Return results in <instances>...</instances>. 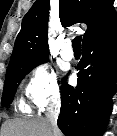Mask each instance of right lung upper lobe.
I'll use <instances>...</instances> for the list:
<instances>
[{
  "mask_svg": "<svg viewBox=\"0 0 117 136\" xmlns=\"http://www.w3.org/2000/svg\"><path fill=\"white\" fill-rule=\"evenodd\" d=\"M114 0H59V16L63 26L85 23L83 41L116 24ZM49 0H36L22 20L9 65L18 61L49 55ZM8 65V66H9Z\"/></svg>",
  "mask_w": 117,
  "mask_h": 136,
  "instance_id": "1",
  "label": "right lung upper lobe"
}]
</instances>
